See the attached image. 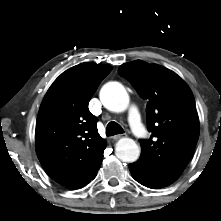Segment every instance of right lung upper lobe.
Returning <instances> with one entry per match:
<instances>
[{
  "label": "right lung upper lobe",
  "mask_w": 221,
  "mask_h": 221,
  "mask_svg": "<svg viewBox=\"0 0 221 221\" xmlns=\"http://www.w3.org/2000/svg\"><path fill=\"white\" fill-rule=\"evenodd\" d=\"M111 67L82 63L62 73L47 91L36 122V152L48 175L69 188L94 179L105 140L88 103Z\"/></svg>",
  "instance_id": "cb5924a9"
}]
</instances>
